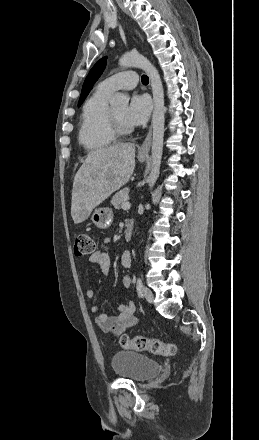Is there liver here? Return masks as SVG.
Segmentation results:
<instances>
[{"mask_svg":"<svg viewBox=\"0 0 259 440\" xmlns=\"http://www.w3.org/2000/svg\"><path fill=\"white\" fill-rule=\"evenodd\" d=\"M135 168V145L121 143L91 151L75 175L71 216L75 224L124 186Z\"/></svg>","mask_w":259,"mask_h":440,"instance_id":"obj_1","label":"liver"}]
</instances>
